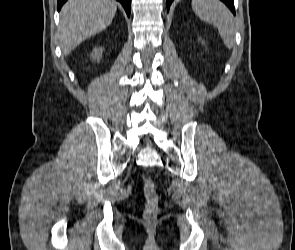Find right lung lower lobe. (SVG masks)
Listing matches in <instances>:
<instances>
[{"mask_svg":"<svg viewBox=\"0 0 295 250\" xmlns=\"http://www.w3.org/2000/svg\"><path fill=\"white\" fill-rule=\"evenodd\" d=\"M66 1L67 0H58V3H57V9H58V11L61 9L62 5ZM117 1H119L122 4V6L124 7L127 15L130 16L131 0H117Z\"/></svg>","mask_w":295,"mask_h":250,"instance_id":"right-lung-lower-lobe-1","label":"right lung lower lobe"}]
</instances>
